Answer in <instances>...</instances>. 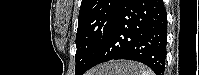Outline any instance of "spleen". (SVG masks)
Returning a JSON list of instances; mask_svg holds the SVG:
<instances>
[{"mask_svg":"<svg viewBox=\"0 0 199 75\" xmlns=\"http://www.w3.org/2000/svg\"><path fill=\"white\" fill-rule=\"evenodd\" d=\"M140 68H141L140 75H154L150 69H146L144 67Z\"/></svg>","mask_w":199,"mask_h":75,"instance_id":"obj_1","label":"spleen"}]
</instances>
